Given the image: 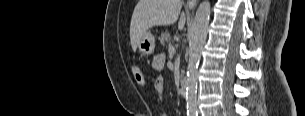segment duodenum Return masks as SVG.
Listing matches in <instances>:
<instances>
[{"mask_svg":"<svg viewBox=\"0 0 305 116\" xmlns=\"http://www.w3.org/2000/svg\"><path fill=\"white\" fill-rule=\"evenodd\" d=\"M187 88H188V83L185 77H183L181 79V83H180V95L182 97H185L187 94Z\"/></svg>","mask_w":305,"mask_h":116,"instance_id":"duodenum-1","label":"duodenum"}]
</instances>
